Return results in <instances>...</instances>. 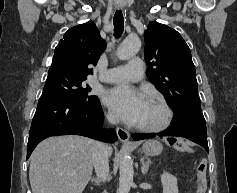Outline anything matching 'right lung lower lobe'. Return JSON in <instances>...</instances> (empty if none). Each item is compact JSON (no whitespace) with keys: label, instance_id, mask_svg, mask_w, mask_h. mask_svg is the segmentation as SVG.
<instances>
[{"label":"right lung lower lobe","instance_id":"right-lung-lower-lobe-1","mask_svg":"<svg viewBox=\"0 0 237 193\" xmlns=\"http://www.w3.org/2000/svg\"><path fill=\"white\" fill-rule=\"evenodd\" d=\"M103 120L100 101L78 105L57 96H41L29 132L27 159L37 144L50 136L73 134L115 142L114 129H103Z\"/></svg>","mask_w":237,"mask_h":193}]
</instances>
